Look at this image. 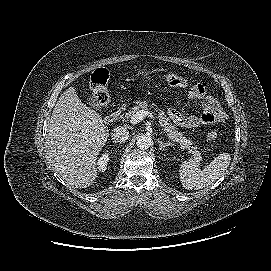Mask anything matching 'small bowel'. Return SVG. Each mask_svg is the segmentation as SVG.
Segmentation results:
<instances>
[{
  "instance_id": "c3829d8e",
  "label": "small bowel",
  "mask_w": 271,
  "mask_h": 271,
  "mask_svg": "<svg viewBox=\"0 0 271 271\" xmlns=\"http://www.w3.org/2000/svg\"><path fill=\"white\" fill-rule=\"evenodd\" d=\"M190 100L202 101L204 110L201 114L183 115L175 109L168 111L169 119L176 125L185 128H195L198 126H210L223 122L226 114L220 102L212 95H209L202 84L192 86L188 92Z\"/></svg>"
}]
</instances>
